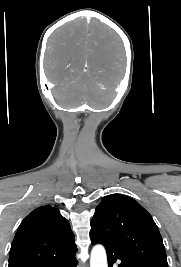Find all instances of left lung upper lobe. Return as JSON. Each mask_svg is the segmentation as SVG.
I'll list each match as a JSON object with an SVG mask.
<instances>
[{
  "label": "left lung upper lobe",
  "instance_id": "5c2ea615",
  "mask_svg": "<svg viewBox=\"0 0 181 267\" xmlns=\"http://www.w3.org/2000/svg\"><path fill=\"white\" fill-rule=\"evenodd\" d=\"M90 237L149 267H168L154 220L128 196L111 194L102 199L91 221Z\"/></svg>",
  "mask_w": 181,
  "mask_h": 267
}]
</instances>
